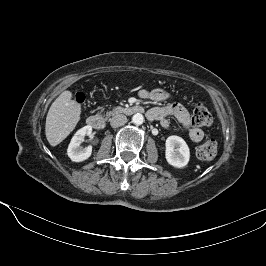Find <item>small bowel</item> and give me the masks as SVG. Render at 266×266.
<instances>
[{
  "label": "small bowel",
  "instance_id": "small-bowel-1",
  "mask_svg": "<svg viewBox=\"0 0 266 266\" xmlns=\"http://www.w3.org/2000/svg\"><path fill=\"white\" fill-rule=\"evenodd\" d=\"M138 96L143 99H149L153 102H163L171 98L170 94L162 89H142L138 92ZM174 117L182 127L189 130V137L194 142H199L203 139L204 133L197 127H191L190 114L188 110L179 102H172L161 107H154L147 112V117L150 120L159 121L162 128L169 129V117Z\"/></svg>",
  "mask_w": 266,
  "mask_h": 266
}]
</instances>
